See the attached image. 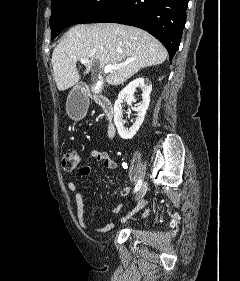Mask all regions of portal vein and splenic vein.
I'll return each mask as SVG.
<instances>
[{
  "mask_svg": "<svg viewBox=\"0 0 240 281\" xmlns=\"http://www.w3.org/2000/svg\"><path fill=\"white\" fill-rule=\"evenodd\" d=\"M80 61L82 64L88 63V59L84 58V57H81ZM117 69H119V66H114V65L109 64L104 67V73H110L112 70H117Z\"/></svg>",
  "mask_w": 240,
  "mask_h": 281,
  "instance_id": "18ae733b",
  "label": "portal vein and splenic vein"
}]
</instances>
